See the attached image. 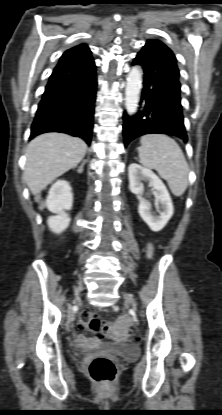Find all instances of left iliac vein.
<instances>
[{
  "mask_svg": "<svg viewBox=\"0 0 222 415\" xmlns=\"http://www.w3.org/2000/svg\"><path fill=\"white\" fill-rule=\"evenodd\" d=\"M123 297L127 303H129L132 307H136V301L133 296L129 293H124Z\"/></svg>",
  "mask_w": 222,
  "mask_h": 415,
  "instance_id": "obj_1",
  "label": "left iliac vein"
}]
</instances>
